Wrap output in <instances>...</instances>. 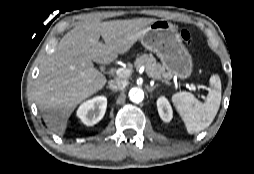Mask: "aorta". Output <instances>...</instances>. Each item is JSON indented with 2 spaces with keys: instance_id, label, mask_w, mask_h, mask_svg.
<instances>
[{
  "instance_id": "762f6f07",
  "label": "aorta",
  "mask_w": 254,
  "mask_h": 174,
  "mask_svg": "<svg viewBox=\"0 0 254 174\" xmlns=\"http://www.w3.org/2000/svg\"><path fill=\"white\" fill-rule=\"evenodd\" d=\"M129 99L133 102V103H141L144 99V92L142 89L140 88H132L129 91Z\"/></svg>"
}]
</instances>
